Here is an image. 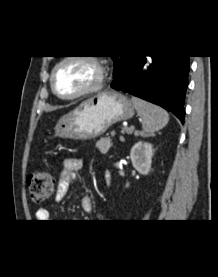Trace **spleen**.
<instances>
[{
	"label": "spleen",
	"mask_w": 218,
	"mask_h": 277,
	"mask_svg": "<svg viewBox=\"0 0 218 277\" xmlns=\"http://www.w3.org/2000/svg\"><path fill=\"white\" fill-rule=\"evenodd\" d=\"M131 100L142 119V128L146 133H154L167 125L169 115L164 109L137 97H132Z\"/></svg>",
	"instance_id": "spleen-1"
}]
</instances>
